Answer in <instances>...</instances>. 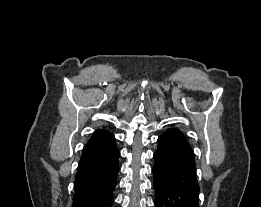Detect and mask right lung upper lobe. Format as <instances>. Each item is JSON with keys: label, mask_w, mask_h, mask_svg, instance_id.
<instances>
[{"label": "right lung upper lobe", "mask_w": 261, "mask_h": 207, "mask_svg": "<svg viewBox=\"0 0 261 207\" xmlns=\"http://www.w3.org/2000/svg\"><path fill=\"white\" fill-rule=\"evenodd\" d=\"M112 136H113V135H112L110 132H108V131H106V130L98 129V130H96V131L93 133L91 139L87 142V144L85 145V147H86V146L93 145V144H96V143H99V142H101V141H103V140H106L107 138L112 137Z\"/></svg>", "instance_id": "cb5924a9"}]
</instances>
